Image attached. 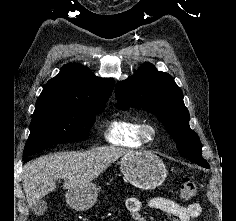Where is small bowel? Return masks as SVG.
<instances>
[{"label": "small bowel", "instance_id": "small-bowel-1", "mask_svg": "<svg viewBox=\"0 0 236 221\" xmlns=\"http://www.w3.org/2000/svg\"><path fill=\"white\" fill-rule=\"evenodd\" d=\"M146 207L171 215L173 221H193L201 214V205L196 202L182 205L174 199L165 197H153L147 201L138 197L126 199V209L134 221H147L142 215Z\"/></svg>", "mask_w": 236, "mask_h": 221}]
</instances>
